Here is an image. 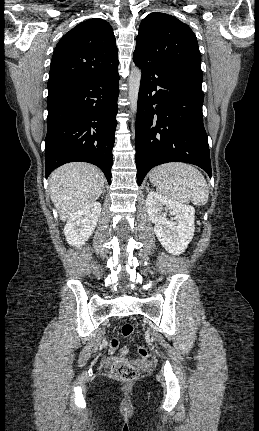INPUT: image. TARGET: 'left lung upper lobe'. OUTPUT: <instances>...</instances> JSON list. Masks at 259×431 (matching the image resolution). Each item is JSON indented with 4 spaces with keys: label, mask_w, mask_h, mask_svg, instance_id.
<instances>
[{
    "label": "left lung upper lobe",
    "mask_w": 259,
    "mask_h": 431,
    "mask_svg": "<svg viewBox=\"0 0 259 431\" xmlns=\"http://www.w3.org/2000/svg\"><path fill=\"white\" fill-rule=\"evenodd\" d=\"M134 55L178 75L203 80L197 38L187 24L171 15L155 12L141 21Z\"/></svg>",
    "instance_id": "left-lung-upper-lobe-1"
}]
</instances>
